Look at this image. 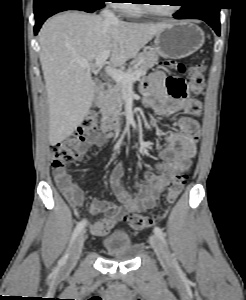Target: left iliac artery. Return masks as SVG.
Listing matches in <instances>:
<instances>
[{"mask_svg": "<svg viewBox=\"0 0 246 300\" xmlns=\"http://www.w3.org/2000/svg\"><path fill=\"white\" fill-rule=\"evenodd\" d=\"M154 233L159 237V239L162 241V243L167 247V242H166V239H165V233L162 231V229L156 226L154 228Z\"/></svg>", "mask_w": 246, "mask_h": 300, "instance_id": "1", "label": "left iliac artery"}]
</instances>
